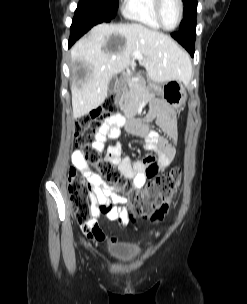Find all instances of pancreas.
Wrapping results in <instances>:
<instances>
[{"instance_id": "obj_1", "label": "pancreas", "mask_w": 247, "mask_h": 304, "mask_svg": "<svg viewBox=\"0 0 247 304\" xmlns=\"http://www.w3.org/2000/svg\"><path fill=\"white\" fill-rule=\"evenodd\" d=\"M126 86V85H125ZM127 90L124 88L121 95L120 104L121 110L125 115H134L140 107L143 100L150 101L156 95L157 87L155 85L147 86L143 80L128 82Z\"/></svg>"}]
</instances>
